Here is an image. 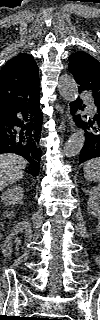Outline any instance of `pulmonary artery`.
<instances>
[{
  "instance_id": "e3ab8cb5",
  "label": "pulmonary artery",
  "mask_w": 100,
  "mask_h": 320,
  "mask_svg": "<svg viewBox=\"0 0 100 320\" xmlns=\"http://www.w3.org/2000/svg\"><path fill=\"white\" fill-rule=\"evenodd\" d=\"M83 98H85V99L88 100L89 102H90V100H91L90 96H88V95H83ZM89 109H90L91 113H94V112H95V108H94V106H93L91 103H89Z\"/></svg>"
}]
</instances>
